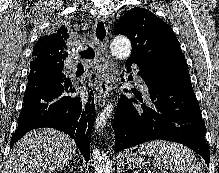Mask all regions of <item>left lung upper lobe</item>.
I'll use <instances>...</instances> for the list:
<instances>
[{
    "label": "left lung upper lobe",
    "mask_w": 219,
    "mask_h": 173,
    "mask_svg": "<svg viewBox=\"0 0 219 173\" xmlns=\"http://www.w3.org/2000/svg\"><path fill=\"white\" fill-rule=\"evenodd\" d=\"M115 34L127 35L132 54L128 60L154 65L167 73V82L190 79L185 57L172 28L144 8H133L115 26Z\"/></svg>",
    "instance_id": "1"
}]
</instances>
